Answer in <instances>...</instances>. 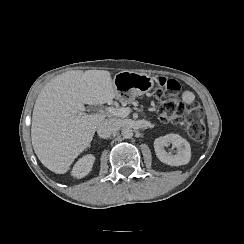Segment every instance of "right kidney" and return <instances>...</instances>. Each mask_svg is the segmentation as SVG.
<instances>
[{"instance_id": "ca27d5eb", "label": "right kidney", "mask_w": 244, "mask_h": 244, "mask_svg": "<svg viewBox=\"0 0 244 244\" xmlns=\"http://www.w3.org/2000/svg\"><path fill=\"white\" fill-rule=\"evenodd\" d=\"M94 160L95 158L92 155H88L79 160L73 169V175L78 178L86 176L90 172Z\"/></svg>"}]
</instances>
